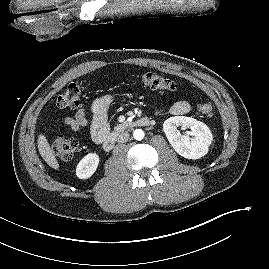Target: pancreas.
<instances>
[{
	"instance_id": "1",
	"label": "pancreas",
	"mask_w": 269,
	"mask_h": 269,
	"mask_svg": "<svg viewBox=\"0 0 269 269\" xmlns=\"http://www.w3.org/2000/svg\"><path fill=\"white\" fill-rule=\"evenodd\" d=\"M127 123H123V124H119L115 127V131H121V130H124L126 127H127Z\"/></svg>"
}]
</instances>
